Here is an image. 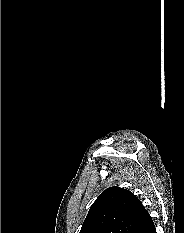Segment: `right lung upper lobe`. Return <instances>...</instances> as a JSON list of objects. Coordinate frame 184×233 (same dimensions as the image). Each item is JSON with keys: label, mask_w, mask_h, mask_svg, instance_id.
<instances>
[{"label": "right lung upper lobe", "mask_w": 184, "mask_h": 233, "mask_svg": "<svg viewBox=\"0 0 184 233\" xmlns=\"http://www.w3.org/2000/svg\"><path fill=\"white\" fill-rule=\"evenodd\" d=\"M149 217L133 193L110 187L90 207L80 233H134Z\"/></svg>", "instance_id": "cb5924a9"}]
</instances>
